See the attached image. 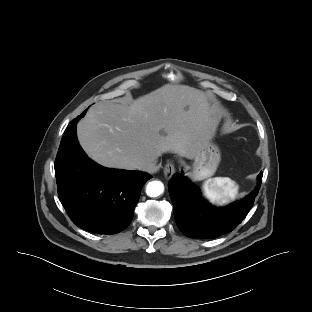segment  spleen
<instances>
[{"label": "spleen", "mask_w": 312, "mask_h": 312, "mask_svg": "<svg viewBox=\"0 0 312 312\" xmlns=\"http://www.w3.org/2000/svg\"><path fill=\"white\" fill-rule=\"evenodd\" d=\"M204 195L212 203L226 204L235 199L238 194V185L228 177H216L203 183Z\"/></svg>", "instance_id": "spleen-1"}]
</instances>
